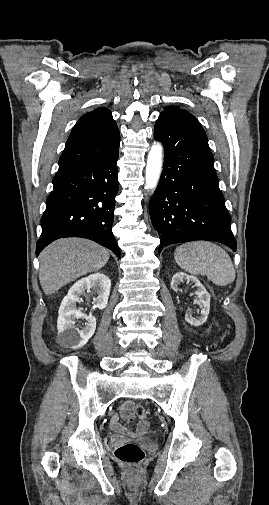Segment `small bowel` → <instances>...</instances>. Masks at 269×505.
Instances as JSON below:
<instances>
[{"instance_id": "1", "label": "small bowel", "mask_w": 269, "mask_h": 505, "mask_svg": "<svg viewBox=\"0 0 269 505\" xmlns=\"http://www.w3.org/2000/svg\"><path fill=\"white\" fill-rule=\"evenodd\" d=\"M133 410H134V403L130 400L125 401L120 408V412H121L122 416L127 420H130L133 417ZM110 424H111V428L115 432L120 433V434H126L129 436H136V435L142 434L146 430V428L148 427V422L144 418H141V420L139 421L137 428L135 430H128L125 426H123L120 423V419H119L118 415H114L111 418Z\"/></svg>"}]
</instances>
